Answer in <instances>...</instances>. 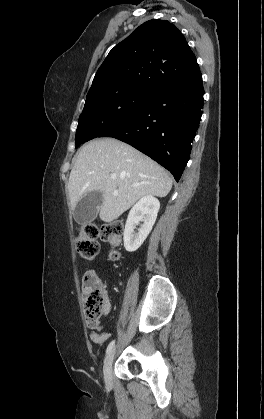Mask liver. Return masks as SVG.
<instances>
[{"label": "liver", "mask_w": 264, "mask_h": 419, "mask_svg": "<svg viewBox=\"0 0 264 419\" xmlns=\"http://www.w3.org/2000/svg\"><path fill=\"white\" fill-rule=\"evenodd\" d=\"M115 175V179H111ZM172 179L164 168L132 146L114 138L92 140L78 153L68 182L74 209L88 192L100 191V219L111 222L144 196L165 197Z\"/></svg>", "instance_id": "1"}]
</instances>
